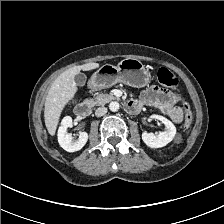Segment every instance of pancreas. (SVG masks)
Masks as SVG:
<instances>
[{
  "mask_svg": "<svg viewBox=\"0 0 224 224\" xmlns=\"http://www.w3.org/2000/svg\"><path fill=\"white\" fill-rule=\"evenodd\" d=\"M115 97L112 94L97 93L95 98L92 100L93 105H105L106 103L114 100Z\"/></svg>",
  "mask_w": 224,
  "mask_h": 224,
  "instance_id": "obj_1",
  "label": "pancreas"
}]
</instances>
